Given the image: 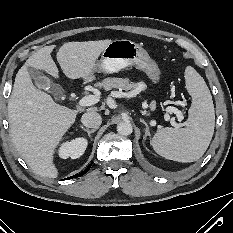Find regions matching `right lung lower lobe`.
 Here are the masks:
<instances>
[{
  "label": "right lung lower lobe",
  "instance_id": "right-lung-lower-lobe-1",
  "mask_svg": "<svg viewBox=\"0 0 233 233\" xmlns=\"http://www.w3.org/2000/svg\"><path fill=\"white\" fill-rule=\"evenodd\" d=\"M90 167H91V164L83 172H81L80 174H76L74 176H71L68 179H72V178H76V177H80V176L84 175L85 173H87V171L90 169Z\"/></svg>",
  "mask_w": 233,
  "mask_h": 233
}]
</instances>
